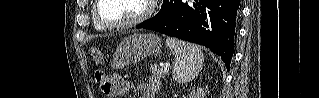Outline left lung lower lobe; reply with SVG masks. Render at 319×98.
<instances>
[{
	"mask_svg": "<svg viewBox=\"0 0 319 98\" xmlns=\"http://www.w3.org/2000/svg\"><path fill=\"white\" fill-rule=\"evenodd\" d=\"M239 7V0H165L159 19L136 27L204 45L229 71Z\"/></svg>",
	"mask_w": 319,
	"mask_h": 98,
	"instance_id": "obj_1",
	"label": "left lung lower lobe"
}]
</instances>
